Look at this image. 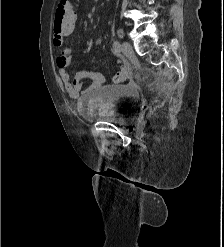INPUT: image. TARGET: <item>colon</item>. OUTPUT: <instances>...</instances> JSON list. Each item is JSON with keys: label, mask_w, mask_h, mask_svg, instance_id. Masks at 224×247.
I'll return each instance as SVG.
<instances>
[{"label": "colon", "mask_w": 224, "mask_h": 247, "mask_svg": "<svg viewBox=\"0 0 224 247\" xmlns=\"http://www.w3.org/2000/svg\"><path fill=\"white\" fill-rule=\"evenodd\" d=\"M75 27V9L69 0L59 1L55 12L54 31L57 34L70 36ZM116 82H124L128 79V72L121 69L115 76Z\"/></svg>", "instance_id": "colon-1"}]
</instances>
